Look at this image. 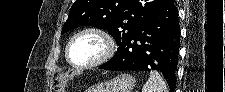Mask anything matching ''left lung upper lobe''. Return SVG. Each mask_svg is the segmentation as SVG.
I'll return each instance as SVG.
<instances>
[{"instance_id":"left-lung-upper-lobe-1","label":"left lung upper lobe","mask_w":225,"mask_h":92,"mask_svg":"<svg viewBox=\"0 0 225 92\" xmlns=\"http://www.w3.org/2000/svg\"><path fill=\"white\" fill-rule=\"evenodd\" d=\"M165 2L166 0H76L63 25L62 33L85 25L106 29L114 37L119 49Z\"/></svg>"}]
</instances>
